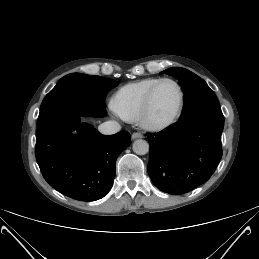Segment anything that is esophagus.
<instances>
[{
  "label": "esophagus",
  "instance_id": "34e87169",
  "mask_svg": "<svg viewBox=\"0 0 259 259\" xmlns=\"http://www.w3.org/2000/svg\"><path fill=\"white\" fill-rule=\"evenodd\" d=\"M131 137H132L133 140H135V139H138V138H143V135L139 132H134Z\"/></svg>",
  "mask_w": 259,
  "mask_h": 259
}]
</instances>
